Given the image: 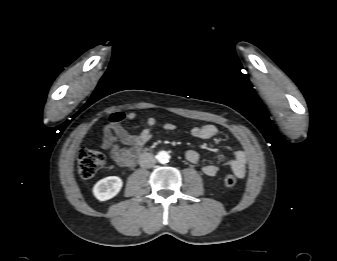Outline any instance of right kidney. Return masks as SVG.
<instances>
[{
    "label": "right kidney",
    "mask_w": 337,
    "mask_h": 261,
    "mask_svg": "<svg viewBox=\"0 0 337 261\" xmlns=\"http://www.w3.org/2000/svg\"><path fill=\"white\" fill-rule=\"evenodd\" d=\"M123 186L121 178L109 176L98 181L93 187L94 196L100 201H106L116 196Z\"/></svg>",
    "instance_id": "obj_1"
}]
</instances>
